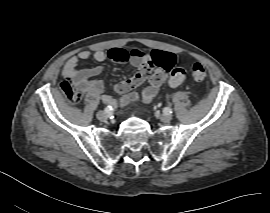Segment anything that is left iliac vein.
Returning <instances> with one entry per match:
<instances>
[{
  "label": "left iliac vein",
  "mask_w": 270,
  "mask_h": 213,
  "mask_svg": "<svg viewBox=\"0 0 270 213\" xmlns=\"http://www.w3.org/2000/svg\"><path fill=\"white\" fill-rule=\"evenodd\" d=\"M172 117L169 114H162L160 115V120L164 123H169Z\"/></svg>",
  "instance_id": "left-iliac-vein-1"
}]
</instances>
